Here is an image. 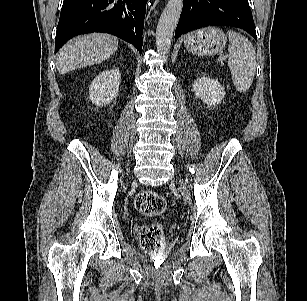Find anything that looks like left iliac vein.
I'll use <instances>...</instances> for the list:
<instances>
[{"label": "left iliac vein", "instance_id": "obj_1", "mask_svg": "<svg viewBox=\"0 0 307 301\" xmlns=\"http://www.w3.org/2000/svg\"><path fill=\"white\" fill-rule=\"evenodd\" d=\"M179 184H180V190L182 192L184 200L188 202L189 201V194L187 192V189L182 183L179 182Z\"/></svg>", "mask_w": 307, "mask_h": 301}]
</instances>
